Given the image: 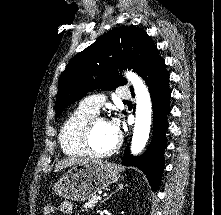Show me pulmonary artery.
Instances as JSON below:
<instances>
[{
  "instance_id": "obj_1",
  "label": "pulmonary artery",
  "mask_w": 221,
  "mask_h": 215,
  "mask_svg": "<svg viewBox=\"0 0 221 215\" xmlns=\"http://www.w3.org/2000/svg\"><path fill=\"white\" fill-rule=\"evenodd\" d=\"M116 94L120 99H128L131 96L129 90L126 88L118 89ZM104 100L105 99L102 95H91L81 101L80 107L93 114H97L100 107L103 105Z\"/></svg>"
}]
</instances>
